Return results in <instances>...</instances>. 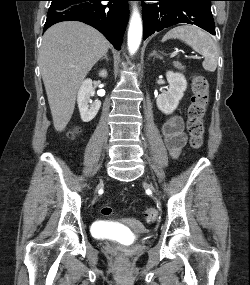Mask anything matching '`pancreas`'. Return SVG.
I'll return each mask as SVG.
<instances>
[{"mask_svg": "<svg viewBox=\"0 0 250 285\" xmlns=\"http://www.w3.org/2000/svg\"><path fill=\"white\" fill-rule=\"evenodd\" d=\"M174 67L177 68V69H180V70H185V67L182 65V63L178 62V61H175L173 63Z\"/></svg>", "mask_w": 250, "mask_h": 285, "instance_id": "cf45deb5", "label": "pancreas"}]
</instances>
